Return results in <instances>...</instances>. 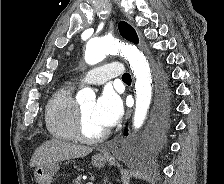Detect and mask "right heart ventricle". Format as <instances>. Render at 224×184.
<instances>
[{
    "mask_svg": "<svg viewBox=\"0 0 224 184\" xmlns=\"http://www.w3.org/2000/svg\"><path fill=\"white\" fill-rule=\"evenodd\" d=\"M77 102L73 97V88L69 85L57 89L47 102L45 110L46 127L52 137L64 140H76L74 121Z\"/></svg>",
    "mask_w": 224,
    "mask_h": 184,
    "instance_id": "right-heart-ventricle-1",
    "label": "right heart ventricle"
}]
</instances>
